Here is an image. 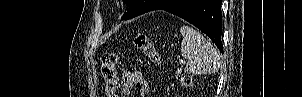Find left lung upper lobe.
I'll list each match as a JSON object with an SVG mask.
<instances>
[{
  "label": "left lung upper lobe",
  "mask_w": 302,
  "mask_h": 97,
  "mask_svg": "<svg viewBox=\"0 0 302 97\" xmlns=\"http://www.w3.org/2000/svg\"><path fill=\"white\" fill-rule=\"evenodd\" d=\"M152 0L146 2V0H123L129 7L128 11L121 18L126 20L134 16L137 12L147 9L150 6Z\"/></svg>",
  "instance_id": "left-lung-upper-lobe-1"
}]
</instances>
